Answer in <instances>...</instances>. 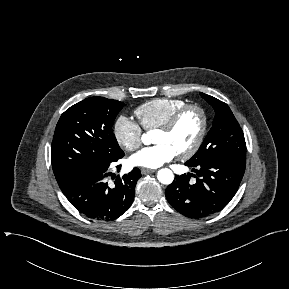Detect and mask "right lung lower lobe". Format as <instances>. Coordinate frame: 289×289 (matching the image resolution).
Returning a JSON list of instances; mask_svg holds the SVG:
<instances>
[{
  "label": "right lung lower lobe",
  "mask_w": 289,
  "mask_h": 289,
  "mask_svg": "<svg viewBox=\"0 0 289 289\" xmlns=\"http://www.w3.org/2000/svg\"><path fill=\"white\" fill-rule=\"evenodd\" d=\"M124 156V152L113 162ZM110 163L98 168H87L68 176L59 184L69 202L85 216L111 221L121 216L132 204L135 185L141 177L134 168L122 178L116 177L114 185H108Z\"/></svg>",
  "instance_id": "obj_1"
}]
</instances>
